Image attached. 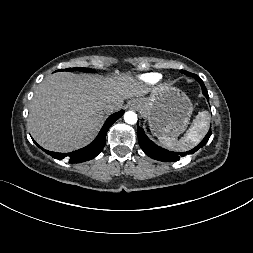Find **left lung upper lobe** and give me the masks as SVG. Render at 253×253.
<instances>
[{"mask_svg": "<svg viewBox=\"0 0 253 253\" xmlns=\"http://www.w3.org/2000/svg\"><path fill=\"white\" fill-rule=\"evenodd\" d=\"M181 73H184V74H186L187 75V71H185V70H181Z\"/></svg>", "mask_w": 253, "mask_h": 253, "instance_id": "5c2ea615", "label": "left lung upper lobe"}]
</instances>
